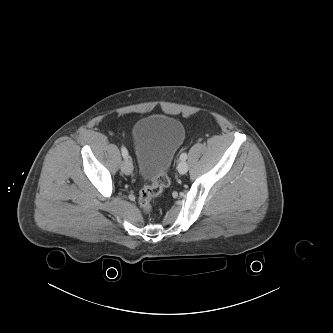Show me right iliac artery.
<instances>
[{
	"instance_id": "82829eb1",
	"label": "right iliac artery",
	"mask_w": 333,
	"mask_h": 333,
	"mask_svg": "<svg viewBox=\"0 0 333 333\" xmlns=\"http://www.w3.org/2000/svg\"><path fill=\"white\" fill-rule=\"evenodd\" d=\"M121 152H122L123 157L125 159H127L128 158V151L124 146L121 147Z\"/></svg>"
}]
</instances>
